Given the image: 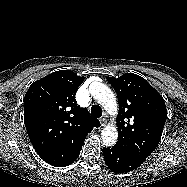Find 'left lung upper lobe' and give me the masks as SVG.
<instances>
[{
    "instance_id": "5c2ea615",
    "label": "left lung upper lobe",
    "mask_w": 187,
    "mask_h": 187,
    "mask_svg": "<svg viewBox=\"0 0 187 187\" xmlns=\"http://www.w3.org/2000/svg\"><path fill=\"white\" fill-rule=\"evenodd\" d=\"M107 79L119 102L118 141L115 146L145 161L162 136L167 118L164 99L143 77L134 73Z\"/></svg>"
}]
</instances>
